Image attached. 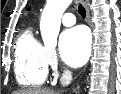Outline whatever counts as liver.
<instances>
[{
  "mask_svg": "<svg viewBox=\"0 0 121 94\" xmlns=\"http://www.w3.org/2000/svg\"><path fill=\"white\" fill-rule=\"evenodd\" d=\"M16 94H58L56 91L54 90H50V89H26V90H22L17 92Z\"/></svg>",
  "mask_w": 121,
  "mask_h": 94,
  "instance_id": "6515ba94",
  "label": "liver"
}]
</instances>
